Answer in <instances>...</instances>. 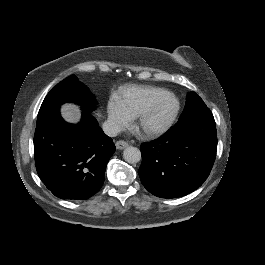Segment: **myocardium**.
<instances>
[{
  "mask_svg": "<svg viewBox=\"0 0 265 265\" xmlns=\"http://www.w3.org/2000/svg\"><path fill=\"white\" fill-rule=\"evenodd\" d=\"M160 94L170 95L175 100L176 107L172 113H170L168 116L164 117L157 123L150 125V126L140 127V130L148 136H153V135H156L162 132L170 123H172L176 119V117L178 116L181 110V100L174 92L170 90H166V89H159L155 92V95L148 101V103L138 113L137 117L139 121H143L146 118L156 97Z\"/></svg>",
  "mask_w": 265,
  "mask_h": 265,
  "instance_id": "obj_1",
  "label": "myocardium"
}]
</instances>
